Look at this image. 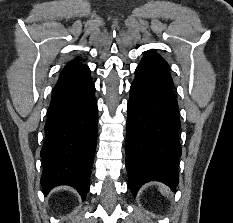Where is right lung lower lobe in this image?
<instances>
[{
  "mask_svg": "<svg viewBox=\"0 0 233 223\" xmlns=\"http://www.w3.org/2000/svg\"><path fill=\"white\" fill-rule=\"evenodd\" d=\"M97 111L88 66L66 65L52 92L40 153L45 195L55 186L70 185L85 199L96 148Z\"/></svg>",
  "mask_w": 233,
  "mask_h": 223,
  "instance_id": "98d812e1",
  "label": "right lung lower lobe"
}]
</instances>
